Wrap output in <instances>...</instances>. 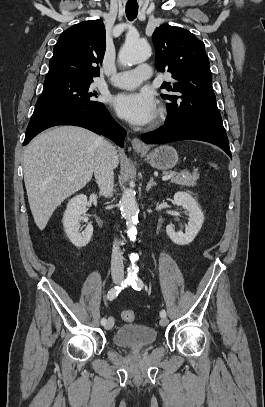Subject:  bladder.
I'll list each match as a JSON object with an SVG mask.
<instances>
[{"label":"bladder","instance_id":"1","mask_svg":"<svg viewBox=\"0 0 265 407\" xmlns=\"http://www.w3.org/2000/svg\"><path fill=\"white\" fill-rule=\"evenodd\" d=\"M156 339L157 332L154 328L136 324L122 325L113 335L114 344L129 349L146 348L154 344Z\"/></svg>","mask_w":265,"mask_h":407}]
</instances>
